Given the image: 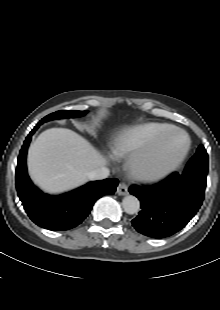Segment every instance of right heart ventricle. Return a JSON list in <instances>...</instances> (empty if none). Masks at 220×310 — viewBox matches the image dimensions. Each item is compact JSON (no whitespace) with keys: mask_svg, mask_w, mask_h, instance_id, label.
Listing matches in <instances>:
<instances>
[{"mask_svg":"<svg viewBox=\"0 0 220 310\" xmlns=\"http://www.w3.org/2000/svg\"><path fill=\"white\" fill-rule=\"evenodd\" d=\"M172 126L164 123L151 122L140 125L121 134L111 145L113 154L119 157L150 148L156 138Z\"/></svg>","mask_w":220,"mask_h":310,"instance_id":"obj_1","label":"right heart ventricle"}]
</instances>
